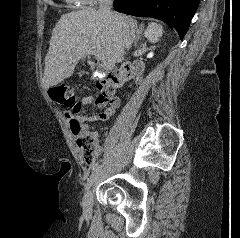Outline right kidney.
I'll return each mask as SVG.
<instances>
[{
    "label": "right kidney",
    "mask_w": 240,
    "mask_h": 238,
    "mask_svg": "<svg viewBox=\"0 0 240 238\" xmlns=\"http://www.w3.org/2000/svg\"><path fill=\"white\" fill-rule=\"evenodd\" d=\"M162 34H163V27L154 22L149 23L144 32L145 37L151 43L158 42Z\"/></svg>",
    "instance_id": "1"
}]
</instances>
